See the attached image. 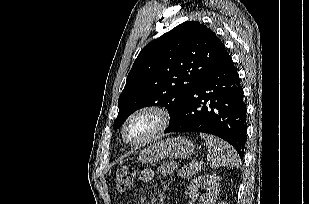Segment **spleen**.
<instances>
[{
  "label": "spleen",
  "mask_w": 309,
  "mask_h": 204,
  "mask_svg": "<svg viewBox=\"0 0 309 204\" xmlns=\"http://www.w3.org/2000/svg\"><path fill=\"white\" fill-rule=\"evenodd\" d=\"M200 136L206 142L208 148L207 163L211 168L239 167V155L228 143L212 135L201 133Z\"/></svg>",
  "instance_id": "spleen-1"
}]
</instances>
